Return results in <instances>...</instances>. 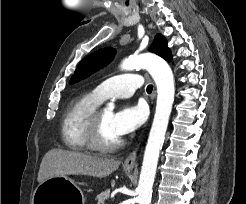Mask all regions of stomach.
Returning <instances> with one entry per match:
<instances>
[{"instance_id": "obj_1", "label": "stomach", "mask_w": 246, "mask_h": 204, "mask_svg": "<svg viewBox=\"0 0 246 204\" xmlns=\"http://www.w3.org/2000/svg\"><path fill=\"white\" fill-rule=\"evenodd\" d=\"M125 170L131 171V168ZM32 204H84V196L71 178L58 176L38 185L32 196Z\"/></svg>"}]
</instances>
